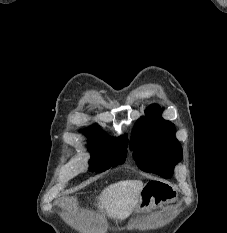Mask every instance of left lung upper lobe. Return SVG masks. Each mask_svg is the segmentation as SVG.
<instances>
[{
    "label": "left lung upper lobe",
    "mask_w": 227,
    "mask_h": 233,
    "mask_svg": "<svg viewBox=\"0 0 227 233\" xmlns=\"http://www.w3.org/2000/svg\"><path fill=\"white\" fill-rule=\"evenodd\" d=\"M160 114L158 105L148 107L132 131L130 149L140 169L168 179L182 158V149L175 138L174 125Z\"/></svg>",
    "instance_id": "obj_1"
}]
</instances>
